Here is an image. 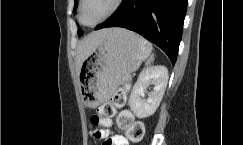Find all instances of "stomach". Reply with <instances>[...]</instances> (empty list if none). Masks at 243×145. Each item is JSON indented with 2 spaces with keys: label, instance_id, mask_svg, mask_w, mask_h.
<instances>
[{
  "label": "stomach",
  "instance_id": "stomach-1",
  "mask_svg": "<svg viewBox=\"0 0 243 145\" xmlns=\"http://www.w3.org/2000/svg\"><path fill=\"white\" fill-rule=\"evenodd\" d=\"M151 47L139 35L114 28L81 66L82 101L90 107L109 101L124 75L135 71Z\"/></svg>",
  "mask_w": 243,
  "mask_h": 145
}]
</instances>
